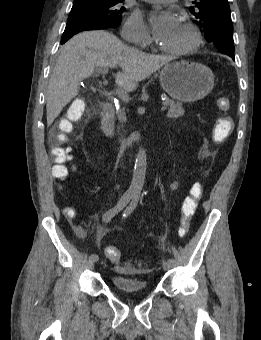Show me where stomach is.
<instances>
[{"instance_id":"1","label":"stomach","mask_w":261,"mask_h":340,"mask_svg":"<svg viewBox=\"0 0 261 340\" xmlns=\"http://www.w3.org/2000/svg\"><path fill=\"white\" fill-rule=\"evenodd\" d=\"M160 83L170 97L190 103L205 98L212 91L214 75L200 63L174 62L160 71Z\"/></svg>"}]
</instances>
